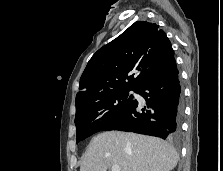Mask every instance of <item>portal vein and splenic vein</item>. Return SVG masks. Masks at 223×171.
I'll use <instances>...</instances> for the list:
<instances>
[{
  "instance_id": "portal-vein-and-splenic-vein-1",
  "label": "portal vein and splenic vein",
  "mask_w": 223,
  "mask_h": 171,
  "mask_svg": "<svg viewBox=\"0 0 223 171\" xmlns=\"http://www.w3.org/2000/svg\"><path fill=\"white\" fill-rule=\"evenodd\" d=\"M111 171H121V167L119 165H113Z\"/></svg>"
}]
</instances>
